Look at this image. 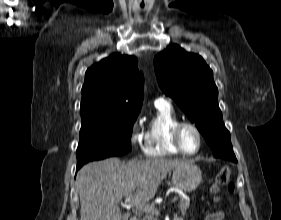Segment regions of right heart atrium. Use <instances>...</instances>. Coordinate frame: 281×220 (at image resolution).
<instances>
[{"instance_id": "d8ad5b80", "label": "right heart atrium", "mask_w": 281, "mask_h": 220, "mask_svg": "<svg viewBox=\"0 0 281 220\" xmlns=\"http://www.w3.org/2000/svg\"><path fill=\"white\" fill-rule=\"evenodd\" d=\"M139 131H140V125H139V121L137 119V120H135V122L132 125L131 141L134 144L140 143Z\"/></svg>"}]
</instances>
